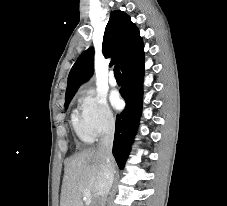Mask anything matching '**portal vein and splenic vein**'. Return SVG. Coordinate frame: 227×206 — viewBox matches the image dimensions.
Wrapping results in <instances>:
<instances>
[{
  "mask_svg": "<svg viewBox=\"0 0 227 206\" xmlns=\"http://www.w3.org/2000/svg\"><path fill=\"white\" fill-rule=\"evenodd\" d=\"M83 195L85 198V202L87 205H89L91 203V193L89 190H83Z\"/></svg>",
  "mask_w": 227,
  "mask_h": 206,
  "instance_id": "18ae733b",
  "label": "portal vein and splenic vein"
}]
</instances>
